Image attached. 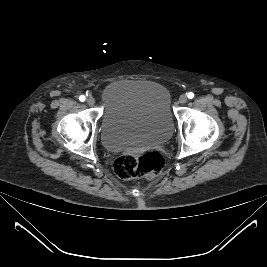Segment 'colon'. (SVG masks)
<instances>
[{
    "label": "colon",
    "mask_w": 267,
    "mask_h": 267,
    "mask_svg": "<svg viewBox=\"0 0 267 267\" xmlns=\"http://www.w3.org/2000/svg\"><path fill=\"white\" fill-rule=\"evenodd\" d=\"M113 167L115 174L121 179H152L161 173L164 158L154 151L124 154L115 160Z\"/></svg>",
    "instance_id": "obj_1"
}]
</instances>
